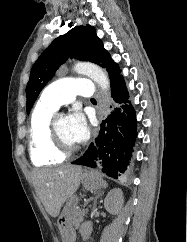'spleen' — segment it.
Listing matches in <instances>:
<instances>
[{
    "instance_id": "1",
    "label": "spleen",
    "mask_w": 187,
    "mask_h": 242,
    "mask_svg": "<svg viewBox=\"0 0 187 242\" xmlns=\"http://www.w3.org/2000/svg\"><path fill=\"white\" fill-rule=\"evenodd\" d=\"M104 186L106 187V186H107V184L105 183V184H104Z\"/></svg>"
}]
</instances>
